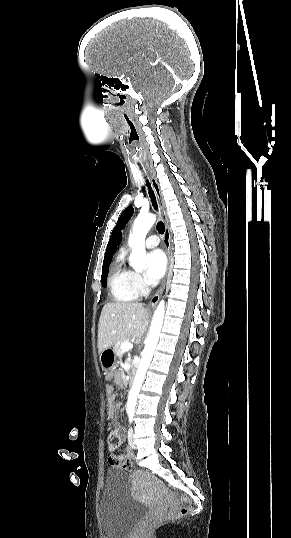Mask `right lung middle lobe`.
I'll use <instances>...</instances> for the list:
<instances>
[{
	"mask_svg": "<svg viewBox=\"0 0 291 538\" xmlns=\"http://www.w3.org/2000/svg\"><path fill=\"white\" fill-rule=\"evenodd\" d=\"M110 260L103 262L101 282L103 286H106V279L109 271Z\"/></svg>",
	"mask_w": 291,
	"mask_h": 538,
	"instance_id": "obj_1",
	"label": "right lung middle lobe"
}]
</instances>
